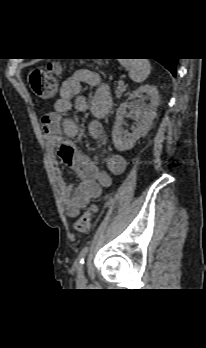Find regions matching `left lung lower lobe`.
<instances>
[{
  "label": "left lung lower lobe",
  "mask_w": 206,
  "mask_h": 348,
  "mask_svg": "<svg viewBox=\"0 0 206 348\" xmlns=\"http://www.w3.org/2000/svg\"><path fill=\"white\" fill-rule=\"evenodd\" d=\"M155 60L165 66L173 74V76H176V65L178 62L177 58H164Z\"/></svg>",
  "instance_id": "left-lung-lower-lobe-1"
}]
</instances>
